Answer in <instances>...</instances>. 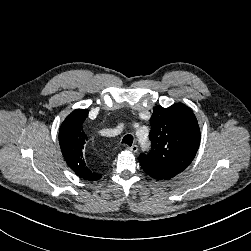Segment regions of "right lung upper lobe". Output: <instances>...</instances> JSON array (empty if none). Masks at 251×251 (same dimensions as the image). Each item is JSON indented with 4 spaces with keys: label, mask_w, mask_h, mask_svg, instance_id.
<instances>
[{
    "label": "right lung upper lobe",
    "mask_w": 251,
    "mask_h": 251,
    "mask_svg": "<svg viewBox=\"0 0 251 251\" xmlns=\"http://www.w3.org/2000/svg\"><path fill=\"white\" fill-rule=\"evenodd\" d=\"M88 116L87 109L73 111L61 124L59 129V144L67 165L81 178L95 181L101 175L88 168L84 157V144L88 140L82 124Z\"/></svg>",
    "instance_id": "right-lung-upper-lobe-1"
}]
</instances>
